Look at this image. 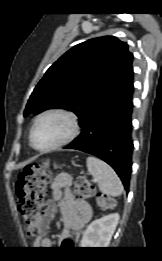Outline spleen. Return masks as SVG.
Instances as JSON below:
<instances>
[{"label": "spleen", "instance_id": "3e777b00", "mask_svg": "<svg viewBox=\"0 0 162 261\" xmlns=\"http://www.w3.org/2000/svg\"><path fill=\"white\" fill-rule=\"evenodd\" d=\"M88 172L97 179L100 191L108 196H120L123 185L116 172L104 161L89 156L86 160Z\"/></svg>", "mask_w": 162, "mask_h": 261}]
</instances>
